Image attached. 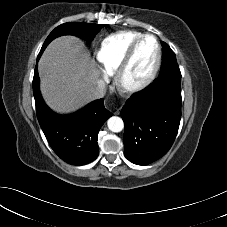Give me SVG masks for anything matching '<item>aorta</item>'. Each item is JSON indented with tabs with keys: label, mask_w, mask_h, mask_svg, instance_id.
Segmentation results:
<instances>
[{
	"label": "aorta",
	"mask_w": 227,
	"mask_h": 227,
	"mask_svg": "<svg viewBox=\"0 0 227 227\" xmlns=\"http://www.w3.org/2000/svg\"><path fill=\"white\" fill-rule=\"evenodd\" d=\"M108 128L112 132H121L124 128L123 120L120 117L113 116L108 119Z\"/></svg>",
	"instance_id": "1"
}]
</instances>
